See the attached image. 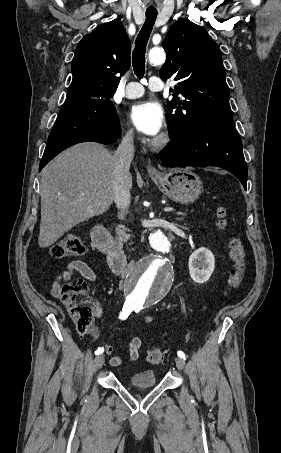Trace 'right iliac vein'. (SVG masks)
<instances>
[{"label": "right iliac vein", "mask_w": 281, "mask_h": 453, "mask_svg": "<svg viewBox=\"0 0 281 453\" xmlns=\"http://www.w3.org/2000/svg\"><path fill=\"white\" fill-rule=\"evenodd\" d=\"M103 364H104V357L97 356V358L95 359L94 366L92 367V370L94 372H97L99 370V368H102Z\"/></svg>", "instance_id": "63e3f726"}]
</instances>
